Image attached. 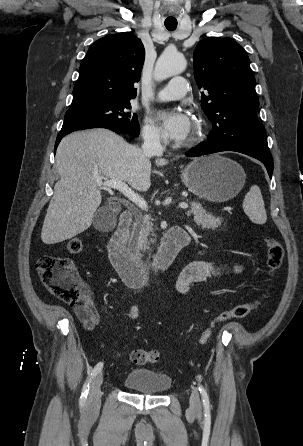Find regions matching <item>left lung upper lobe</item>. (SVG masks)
Here are the masks:
<instances>
[{
  "mask_svg": "<svg viewBox=\"0 0 303 446\" xmlns=\"http://www.w3.org/2000/svg\"><path fill=\"white\" fill-rule=\"evenodd\" d=\"M194 75L201 106L212 122L209 144L228 143L269 150L265 128L257 119L255 78L244 49L231 38L209 37L197 45Z\"/></svg>",
  "mask_w": 303,
  "mask_h": 446,
  "instance_id": "5c2ea615",
  "label": "left lung upper lobe"
}]
</instances>
